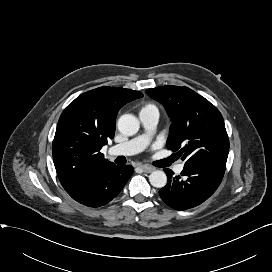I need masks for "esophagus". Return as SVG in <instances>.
<instances>
[{
    "instance_id": "esophagus-1",
    "label": "esophagus",
    "mask_w": 272,
    "mask_h": 272,
    "mask_svg": "<svg viewBox=\"0 0 272 272\" xmlns=\"http://www.w3.org/2000/svg\"><path fill=\"white\" fill-rule=\"evenodd\" d=\"M140 168L145 173H150V172H153L155 170L153 167L147 166V165H141Z\"/></svg>"
}]
</instances>
